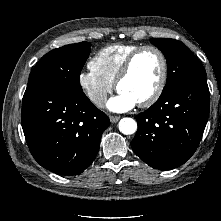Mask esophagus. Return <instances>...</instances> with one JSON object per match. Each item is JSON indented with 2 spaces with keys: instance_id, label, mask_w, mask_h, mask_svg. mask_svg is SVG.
<instances>
[{
  "instance_id": "esophagus-1",
  "label": "esophagus",
  "mask_w": 221,
  "mask_h": 221,
  "mask_svg": "<svg viewBox=\"0 0 221 221\" xmlns=\"http://www.w3.org/2000/svg\"><path fill=\"white\" fill-rule=\"evenodd\" d=\"M120 116H110L109 119L112 123H116L120 120Z\"/></svg>"
}]
</instances>
